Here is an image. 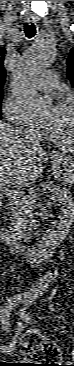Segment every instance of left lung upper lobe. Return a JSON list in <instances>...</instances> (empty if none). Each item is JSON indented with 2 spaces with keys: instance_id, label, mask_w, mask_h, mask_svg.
Returning a JSON list of instances; mask_svg holds the SVG:
<instances>
[{
  "instance_id": "left-lung-upper-lobe-1",
  "label": "left lung upper lobe",
  "mask_w": 74,
  "mask_h": 366,
  "mask_svg": "<svg viewBox=\"0 0 74 366\" xmlns=\"http://www.w3.org/2000/svg\"><path fill=\"white\" fill-rule=\"evenodd\" d=\"M67 72H68V77L70 79V82L72 84V86L74 87V48L71 49L70 51V55L67 59Z\"/></svg>"
}]
</instances>
